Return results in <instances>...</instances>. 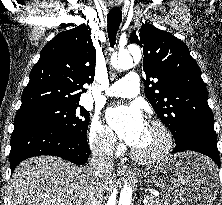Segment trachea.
<instances>
[{"mask_svg": "<svg viewBox=\"0 0 222 205\" xmlns=\"http://www.w3.org/2000/svg\"><path fill=\"white\" fill-rule=\"evenodd\" d=\"M122 21V11L119 8H113L107 14L108 37L110 46L113 47L116 42V35Z\"/></svg>", "mask_w": 222, "mask_h": 205, "instance_id": "obj_1", "label": "trachea"}]
</instances>
